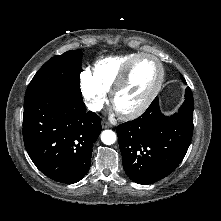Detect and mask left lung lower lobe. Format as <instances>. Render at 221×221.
Listing matches in <instances>:
<instances>
[{"label":"left lung lower lobe","instance_id":"1","mask_svg":"<svg viewBox=\"0 0 221 221\" xmlns=\"http://www.w3.org/2000/svg\"><path fill=\"white\" fill-rule=\"evenodd\" d=\"M193 96L186 88L179 111L165 116L156 97L137 119L117 126L123 168L138 184H151L173 172L183 160L193 134Z\"/></svg>","mask_w":221,"mask_h":221}]
</instances>
